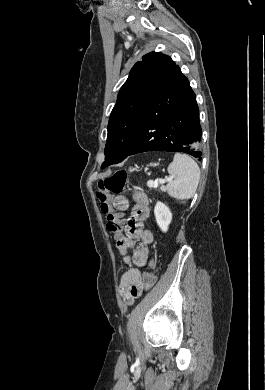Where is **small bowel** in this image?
Returning <instances> with one entry per match:
<instances>
[{
  "label": "small bowel",
  "mask_w": 265,
  "mask_h": 390,
  "mask_svg": "<svg viewBox=\"0 0 265 390\" xmlns=\"http://www.w3.org/2000/svg\"><path fill=\"white\" fill-rule=\"evenodd\" d=\"M133 200L134 206L131 217L125 226V235L123 232L122 237L116 239L117 248L121 255L126 256L130 250H133L131 257L127 259L130 266L120 280L121 295L128 303L140 297L144 291L140 268L151 262L148 246L154 239L152 232L143 226L149 212L148 196L143 192L136 191L133 194ZM113 205L119 211H126L129 208V200L123 195H117L113 199ZM138 243H140L139 246H137Z\"/></svg>",
  "instance_id": "small-bowel-1"
}]
</instances>
